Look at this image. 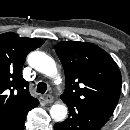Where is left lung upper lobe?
Masks as SVG:
<instances>
[{
  "label": "left lung upper lobe",
  "mask_w": 130,
  "mask_h": 130,
  "mask_svg": "<svg viewBox=\"0 0 130 130\" xmlns=\"http://www.w3.org/2000/svg\"><path fill=\"white\" fill-rule=\"evenodd\" d=\"M55 51L65 71V103L86 104L111 116L120 97L122 78L112 57L92 43L58 42Z\"/></svg>",
  "instance_id": "left-lung-upper-lobe-1"
}]
</instances>
